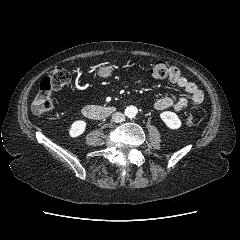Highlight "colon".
<instances>
[{
  "label": "colon",
  "mask_w": 240,
  "mask_h": 240,
  "mask_svg": "<svg viewBox=\"0 0 240 240\" xmlns=\"http://www.w3.org/2000/svg\"><path fill=\"white\" fill-rule=\"evenodd\" d=\"M170 67L164 61H156L151 65L150 74L157 80H164L169 76ZM71 81L69 70L64 67H55L40 82L39 92L32 103V111L36 115L50 112L54 106V91L67 86ZM205 116L202 107L193 109L186 117L188 126L199 124Z\"/></svg>",
  "instance_id": "obj_1"
}]
</instances>
